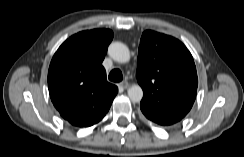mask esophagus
I'll return each instance as SVG.
<instances>
[{"instance_id": "1", "label": "esophagus", "mask_w": 244, "mask_h": 157, "mask_svg": "<svg viewBox=\"0 0 244 157\" xmlns=\"http://www.w3.org/2000/svg\"><path fill=\"white\" fill-rule=\"evenodd\" d=\"M119 86L123 89H127L129 87V83L127 81H122Z\"/></svg>"}]
</instances>
